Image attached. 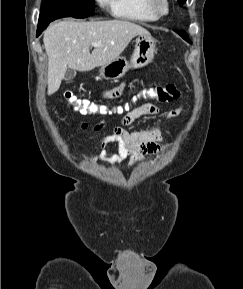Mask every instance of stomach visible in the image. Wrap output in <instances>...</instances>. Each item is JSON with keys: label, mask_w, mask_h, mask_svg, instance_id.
<instances>
[{"label": "stomach", "mask_w": 243, "mask_h": 289, "mask_svg": "<svg viewBox=\"0 0 243 289\" xmlns=\"http://www.w3.org/2000/svg\"><path fill=\"white\" fill-rule=\"evenodd\" d=\"M156 42L150 33L138 35L130 61H127L125 57H117L112 62L101 66L100 76L105 79H118L130 68H142L148 65L154 58Z\"/></svg>", "instance_id": "1"}]
</instances>
